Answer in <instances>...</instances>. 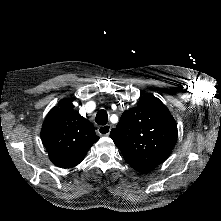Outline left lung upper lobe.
I'll return each instance as SVG.
<instances>
[{
    "instance_id": "1",
    "label": "left lung upper lobe",
    "mask_w": 221,
    "mask_h": 221,
    "mask_svg": "<svg viewBox=\"0 0 221 221\" xmlns=\"http://www.w3.org/2000/svg\"><path fill=\"white\" fill-rule=\"evenodd\" d=\"M111 138L125 161L145 173L161 164L177 139V124L168 108L151 94L140 98L137 107L125 111Z\"/></svg>"
}]
</instances>
